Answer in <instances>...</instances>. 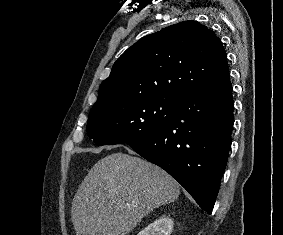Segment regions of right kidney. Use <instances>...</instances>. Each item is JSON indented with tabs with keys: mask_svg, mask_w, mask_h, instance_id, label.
Instances as JSON below:
<instances>
[{
	"mask_svg": "<svg viewBox=\"0 0 283 235\" xmlns=\"http://www.w3.org/2000/svg\"><path fill=\"white\" fill-rule=\"evenodd\" d=\"M173 230V220L167 216H162L137 235H171Z\"/></svg>",
	"mask_w": 283,
	"mask_h": 235,
	"instance_id": "right-kidney-1",
	"label": "right kidney"
}]
</instances>
